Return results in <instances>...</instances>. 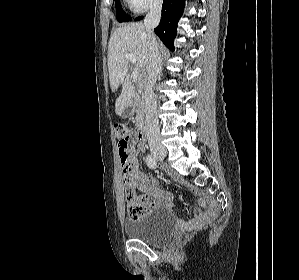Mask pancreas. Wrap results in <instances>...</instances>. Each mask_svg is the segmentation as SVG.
<instances>
[{
  "label": "pancreas",
  "mask_w": 299,
  "mask_h": 280,
  "mask_svg": "<svg viewBox=\"0 0 299 280\" xmlns=\"http://www.w3.org/2000/svg\"><path fill=\"white\" fill-rule=\"evenodd\" d=\"M132 104L136 113V125L141 126L144 118V98L139 93H133Z\"/></svg>",
  "instance_id": "pancreas-1"
}]
</instances>
